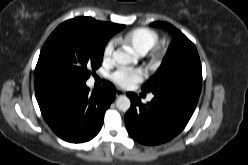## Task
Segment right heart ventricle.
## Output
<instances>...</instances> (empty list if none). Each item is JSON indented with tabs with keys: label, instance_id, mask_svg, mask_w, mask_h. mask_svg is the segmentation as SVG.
Listing matches in <instances>:
<instances>
[{
	"label": "right heart ventricle",
	"instance_id": "right-heart-ventricle-1",
	"mask_svg": "<svg viewBox=\"0 0 248 165\" xmlns=\"http://www.w3.org/2000/svg\"><path fill=\"white\" fill-rule=\"evenodd\" d=\"M159 39L158 33L147 27L133 29L119 38L124 45L143 55L154 47Z\"/></svg>",
	"mask_w": 248,
	"mask_h": 165
}]
</instances>
